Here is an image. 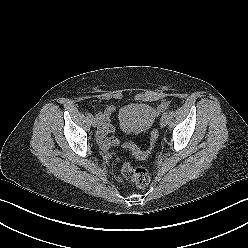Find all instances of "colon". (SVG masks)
<instances>
[{
	"label": "colon",
	"instance_id": "5ec220e1",
	"mask_svg": "<svg viewBox=\"0 0 248 248\" xmlns=\"http://www.w3.org/2000/svg\"><path fill=\"white\" fill-rule=\"evenodd\" d=\"M158 138V131L156 129L151 132L150 148L146 151H141L134 143L125 142L123 146L130 150L138 158H146L150 155L155 142ZM119 181H126L136 188H143L149 183V174L146 169L141 167H133L129 162H123Z\"/></svg>",
	"mask_w": 248,
	"mask_h": 248
}]
</instances>
